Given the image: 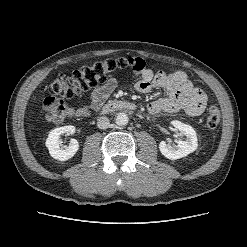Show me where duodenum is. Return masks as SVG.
I'll list each match as a JSON object with an SVG mask.
<instances>
[{"label": "duodenum", "instance_id": "obj_1", "mask_svg": "<svg viewBox=\"0 0 247 247\" xmlns=\"http://www.w3.org/2000/svg\"><path fill=\"white\" fill-rule=\"evenodd\" d=\"M136 105L133 102L118 100L106 103L101 108V113L108 114L116 111H133L136 109Z\"/></svg>", "mask_w": 247, "mask_h": 247}]
</instances>
